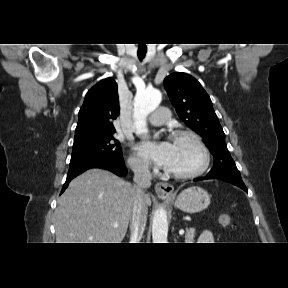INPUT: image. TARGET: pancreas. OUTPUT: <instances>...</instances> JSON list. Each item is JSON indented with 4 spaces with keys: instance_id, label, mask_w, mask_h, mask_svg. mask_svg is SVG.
I'll return each instance as SVG.
<instances>
[{
    "instance_id": "cf45deb5",
    "label": "pancreas",
    "mask_w": 288,
    "mask_h": 288,
    "mask_svg": "<svg viewBox=\"0 0 288 288\" xmlns=\"http://www.w3.org/2000/svg\"><path fill=\"white\" fill-rule=\"evenodd\" d=\"M195 238V229L194 228H187L185 234V242L186 243H193Z\"/></svg>"
}]
</instances>
